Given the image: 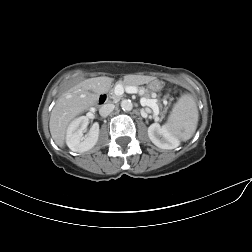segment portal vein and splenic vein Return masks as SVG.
<instances>
[{
  "mask_svg": "<svg viewBox=\"0 0 252 252\" xmlns=\"http://www.w3.org/2000/svg\"><path fill=\"white\" fill-rule=\"evenodd\" d=\"M125 91L127 93H130V94L138 92V90H137V88L135 86H127L125 88ZM115 93L118 94V95L123 94L124 93V88L121 85H117L115 87ZM140 103H141L142 106L151 107L153 109L155 115H158L159 108H158V106L156 105V103L153 100H148V99H145V98H141Z\"/></svg>",
  "mask_w": 252,
  "mask_h": 252,
  "instance_id": "1",
  "label": "portal vein and splenic vein"
}]
</instances>
